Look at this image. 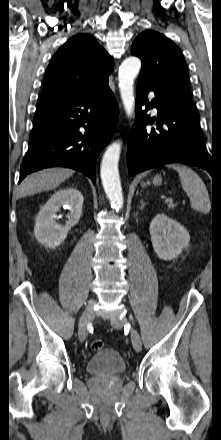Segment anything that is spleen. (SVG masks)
I'll list each match as a JSON object with an SVG mask.
<instances>
[{"label": "spleen", "mask_w": 221, "mask_h": 440, "mask_svg": "<svg viewBox=\"0 0 221 440\" xmlns=\"http://www.w3.org/2000/svg\"><path fill=\"white\" fill-rule=\"evenodd\" d=\"M167 167L178 172L181 186L190 198L191 208L201 213H209L211 209L210 197L200 176L185 165L171 164Z\"/></svg>", "instance_id": "obj_1"}]
</instances>
